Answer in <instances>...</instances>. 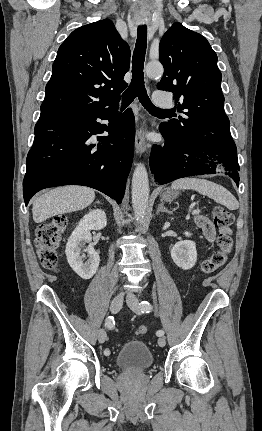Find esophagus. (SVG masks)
I'll return each mask as SVG.
<instances>
[{"mask_svg":"<svg viewBox=\"0 0 262 431\" xmlns=\"http://www.w3.org/2000/svg\"><path fill=\"white\" fill-rule=\"evenodd\" d=\"M148 148V143L145 139L144 130L142 127L137 126L135 132V149L137 153L143 154Z\"/></svg>","mask_w":262,"mask_h":431,"instance_id":"1","label":"esophagus"}]
</instances>
